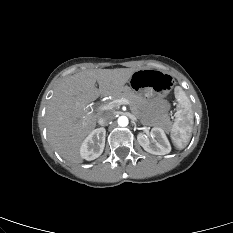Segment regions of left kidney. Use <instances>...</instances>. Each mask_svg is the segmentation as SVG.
I'll return each mask as SVG.
<instances>
[{
  "label": "left kidney",
  "mask_w": 233,
  "mask_h": 233,
  "mask_svg": "<svg viewBox=\"0 0 233 233\" xmlns=\"http://www.w3.org/2000/svg\"><path fill=\"white\" fill-rule=\"evenodd\" d=\"M137 140L145 151L154 155H165L171 151L165 131L160 127L152 128L149 136L139 133Z\"/></svg>",
  "instance_id": "5707ae66"
}]
</instances>
